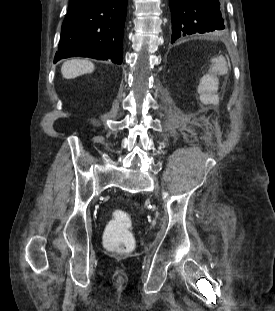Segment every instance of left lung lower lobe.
I'll return each instance as SVG.
<instances>
[{"instance_id": "obj_1", "label": "left lung lower lobe", "mask_w": 275, "mask_h": 311, "mask_svg": "<svg viewBox=\"0 0 275 311\" xmlns=\"http://www.w3.org/2000/svg\"><path fill=\"white\" fill-rule=\"evenodd\" d=\"M171 43L192 34H217L226 28L219 0H169Z\"/></svg>"}]
</instances>
